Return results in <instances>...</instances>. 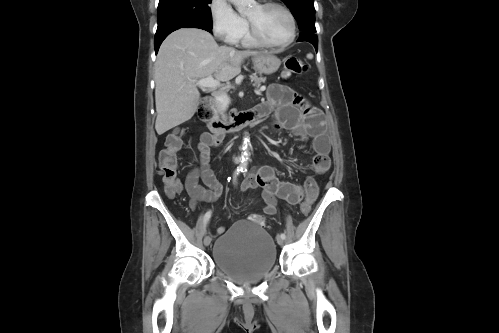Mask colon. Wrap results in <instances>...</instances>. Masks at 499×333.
I'll list each match as a JSON object with an SVG mask.
<instances>
[{
	"mask_svg": "<svg viewBox=\"0 0 499 333\" xmlns=\"http://www.w3.org/2000/svg\"><path fill=\"white\" fill-rule=\"evenodd\" d=\"M284 69L286 76H293L306 72L307 65L299 59L289 58L285 62ZM181 146V134L179 131L174 132L167 137L165 148L159 157V174L169 196L176 195L181 189V184L177 179V153ZM304 190L305 199L301 205V211L303 214H307L319 194L317 181L313 177H308L304 183ZM248 219L259 225H264V219L260 215L252 214Z\"/></svg>",
	"mask_w": 499,
	"mask_h": 333,
	"instance_id": "obj_1",
	"label": "colon"
}]
</instances>
